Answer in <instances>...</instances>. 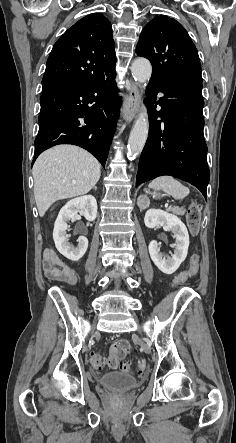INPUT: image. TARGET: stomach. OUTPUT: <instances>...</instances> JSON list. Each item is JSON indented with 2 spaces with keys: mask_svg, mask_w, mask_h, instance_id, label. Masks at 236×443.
Listing matches in <instances>:
<instances>
[{
  "mask_svg": "<svg viewBox=\"0 0 236 443\" xmlns=\"http://www.w3.org/2000/svg\"><path fill=\"white\" fill-rule=\"evenodd\" d=\"M146 193H150V192L146 190ZM151 194L153 195V198H160L161 197V194L157 193L155 191L153 193H151Z\"/></svg>",
  "mask_w": 236,
  "mask_h": 443,
  "instance_id": "obj_1",
  "label": "stomach"
}]
</instances>
